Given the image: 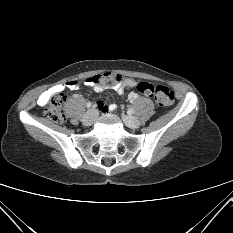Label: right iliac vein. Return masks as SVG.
<instances>
[{"label":"right iliac vein","mask_w":233,"mask_h":233,"mask_svg":"<svg viewBox=\"0 0 233 233\" xmlns=\"http://www.w3.org/2000/svg\"><path fill=\"white\" fill-rule=\"evenodd\" d=\"M97 117V111L94 109L88 110L83 118H82V123L85 126H90L94 123L95 119Z\"/></svg>","instance_id":"obj_1"}]
</instances>
